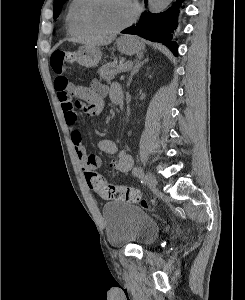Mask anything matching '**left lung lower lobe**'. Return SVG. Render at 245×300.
<instances>
[{
    "label": "left lung lower lobe",
    "mask_w": 245,
    "mask_h": 300,
    "mask_svg": "<svg viewBox=\"0 0 245 300\" xmlns=\"http://www.w3.org/2000/svg\"><path fill=\"white\" fill-rule=\"evenodd\" d=\"M184 0H176L173 5L163 13H144L136 26L128 27L121 33L143 37L153 42L166 45L175 56L178 54L175 32L178 26V16ZM147 0H145V3Z\"/></svg>",
    "instance_id": "0a47b994"
}]
</instances>
